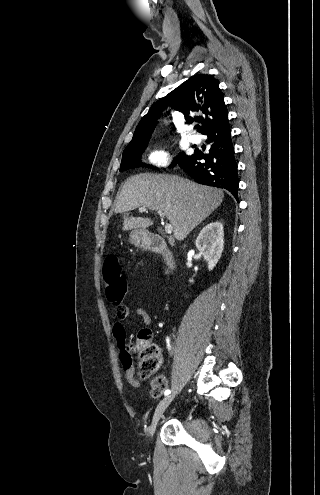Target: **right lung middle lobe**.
Returning <instances> with one entry per match:
<instances>
[{
  "mask_svg": "<svg viewBox=\"0 0 320 495\" xmlns=\"http://www.w3.org/2000/svg\"><path fill=\"white\" fill-rule=\"evenodd\" d=\"M147 144L140 145L128 150L123 151L122 161L120 165V171L127 170L135 167H150L154 168L152 165H147L141 161V155L144 152ZM189 155L185 153H179L170 167H173L175 164L182 163Z\"/></svg>",
  "mask_w": 320,
  "mask_h": 495,
  "instance_id": "right-lung-middle-lobe-1",
  "label": "right lung middle lobe"
}]
</instances>
